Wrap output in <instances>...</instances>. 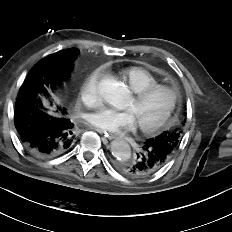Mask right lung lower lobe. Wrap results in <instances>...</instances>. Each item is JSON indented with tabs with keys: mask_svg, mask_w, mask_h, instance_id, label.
Wrapping results in <instances>:
<instances>
[{
	"mask_svg": "<svg viewBox=\"0 0 232 232\" xmlns=\"http://www.w3.org/2000/svg\"><path fill=\"white\" fill-rule=\"evenodd\" d=\"M24 90L14 112V123L25 149L36 157H55L68 151L73 144L74 124L65 114L56 118L44 117L38 98Z\"/></svg>",
	"mask_w": 232,
	"mask_h": 232,
	"instance_id": "right-lung-lower-lobe-1",
	"label": "right lung lower lobe"
}]
</instances>
